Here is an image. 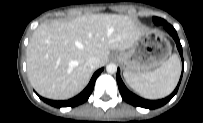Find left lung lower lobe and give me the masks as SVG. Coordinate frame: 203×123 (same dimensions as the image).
I'll return each mask as SVG.
<instances>
[{
	"mask_svg": "<svg viewBox=\"0 0 203 123\" xmlns=\"http://www.w3.org/2000/svg\"><path fill=\"white\" fill-rule=\"evenodd\" d=\"M160 22H161V24H157V25H163L164 28L167 30V32L173 37V39L176 42L177 49L180 53L182 62L184 63L183 55H182V46L180 44V40L178 38L176 30L170 24H168L165 20L161 19ZM182 74H183V72H182ZM181 78H182V75H181ZM181 78H180V81H179L176 89L168 97L161 99V100H146V99L140 98V97L136 96L135 94L131 93L125 87L124 83L122 82L119 69L117 71L118 88H119V91H120L123 99L126 102H128L134 106L148 108V109H155V108L161 107V106L165 105L167 102H169L173 98V96L177 93L180 82H181Z\"/></svg>",
	"mask_w": 203,
	"mask_h": 123,
	"instance_id": "left-lung-lower-lobe-1",
	"label": "left lung lower lobe"
}]
</instances>
